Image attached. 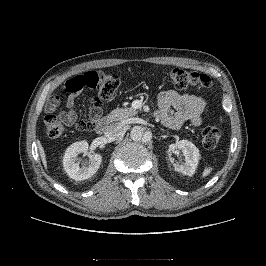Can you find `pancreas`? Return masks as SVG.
<instances>
[{
	"mask_svg": "<svg viewBox=\"0 0 266 266\" xmlns=\"http://www.w3.org/2000/svg\"><path fill=\"white\" fill-rule=\"evenodd\" d=\"M138 112L133 108H116L106 116L108 122L124 121Z\"/></svg>",
	"mask_w": 266,
	"mask_h": 266,
	"instance_id": "cf45deb5",
	"label": "pancreas"
}]
</instances>
